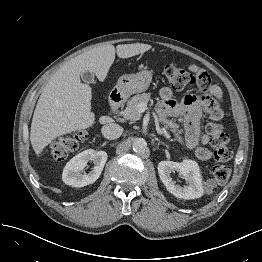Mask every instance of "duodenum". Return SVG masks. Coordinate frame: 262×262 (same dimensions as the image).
Returning <instances> with one entry per match:
<instances>
[{
    "label": "duodenum",
    "mask_w": 262,
    "mask_h": 262,
    "mask_svg": "<svg viewBox=\"0 0 262 262\" xmlns=\"http://www.w3.org/2000/svg\"><path fill=\"white\" fill-rule=\"evenodd\" d=\"M124 102V95L120 90H114L110 94L109 104L112 110H117Z\"/></svg>",
    "instance_id": "410a0bca"
}]
</instances>
